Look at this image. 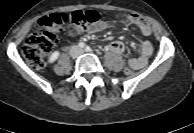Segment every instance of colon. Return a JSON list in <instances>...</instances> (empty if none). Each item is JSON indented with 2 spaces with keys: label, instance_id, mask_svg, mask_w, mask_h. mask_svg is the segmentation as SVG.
Here are the masks:
<instances>
[{
  "label": "colon",
  "instance_id": "1",
  "mask_svg": "<svg viewBox=\"0 0 194 133\" xmlns=\"http://www.w3.org/2000/svg\"><path fill=\"white\" fill-rule=\"evenodd\" d=\"M102 19L101 13L95 10H77L70 14L55 13L45 16L39 20L43 31L26 38L22 45V54L31 67L40 69L44 66L46 56L53 50L57 34L63 25L70 23L77 31H82L89 26L102 23ZM124 71L127 77L134 75V69L129 65Z\"/></svg>",
  "mask_w": 194,
  "mask_h": 133
}]
</instances>
